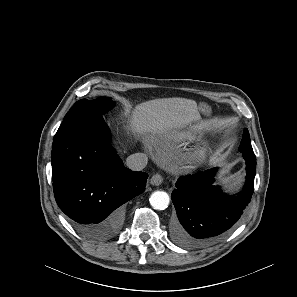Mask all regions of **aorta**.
I'll list each match as a JSON object with an SVG mask.
<instances>
[{
  "instance_id": "762f6f07",
  "label": "aorta",
  "mask_w": 297,
  "mask_h": 297,
  "mask_svg": "<svg viewBox=\"0 0 297 297\" xmlns=\"http://www.w3.org/2000/svg\"><path fill=\"white\" fill-rule=\"evenodd\" d=\"M151 206L156 210H164L168 207L170 198L164 191H155L149 198Z\"/></svg>"
}]
</instances>
